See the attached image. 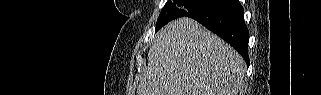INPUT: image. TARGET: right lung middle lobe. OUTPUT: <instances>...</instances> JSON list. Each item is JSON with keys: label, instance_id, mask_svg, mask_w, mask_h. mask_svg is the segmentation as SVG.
<instances>
[{"label": "right lung middle lobe", "instance_id": "obj_1", "mask_svg": "<svg viewBox=\"0 0 321 95\" xmlns=\"http://www.w3.org/2000/svg\"><path fill=\"white\" fill-rule=\"evenodd\" d=\"M212 0H168L157 19L156 31L169 21L187 16L207 5Z\"/></svg>", "mask_w": 321, "mask_h": 95}]
</instances>
